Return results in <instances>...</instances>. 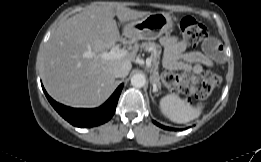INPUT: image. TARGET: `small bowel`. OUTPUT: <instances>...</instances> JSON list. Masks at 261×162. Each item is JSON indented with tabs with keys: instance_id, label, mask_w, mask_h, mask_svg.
Returning <instances> with one entry per match:
<instances>
[{
	"instance_id": "small-bowel-1",
	"label": "small bowel",
	"mask_w": 261,
	"mask_h": 162,
	"mask_svg": "<svg viewBox=\"0 0 261 162\" xmlns=\"http://www.w3.org/2000/svg\"><path fill=\"white\" fill-rule=\"evenodd\" d=\"M165 48L163 64L169 70L192 71L200 74L204 67H210L225 59L223 47L214 39H206L201 51H186L185 43L177 37H162Z\"/></svg>"
}]
</instances>
